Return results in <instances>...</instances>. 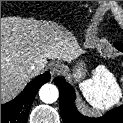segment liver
Wrapping results in <instances>:
<instances>
[{
	"label": "liver",
	"instance_id": "1",
	"mask_svg": "<svg viewBox=\"0 0 123 123\" xmlns=\"http://www.w3.org/2000/svg\"><path fill=\"white\" fill-rule=\"evenodd\" d=\"M80 52L70 32L48 22L1 18V103L14 98L46 66L47 59L72 60ZM37 69L29 72L31 65Z\"/></svg>",
	"mask_w": 123,
	"mask_h": 123
}]
</instances>
